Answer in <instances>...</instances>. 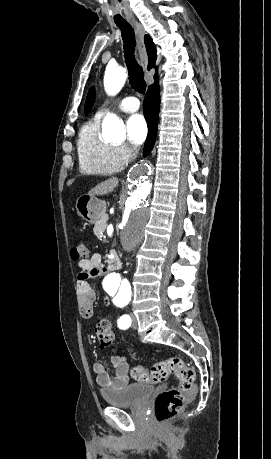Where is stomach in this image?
Listing matches in <instances>:
<instances>
[{
  "label": "stomach",
  "instance_id": "obj_1",
  "mask_svg": "<svg viewBox=\"0 0 271 459\" xmlns=\"http://www.w3.org/2000/svg\"><path fill=\"white\" fill-rule=\"evenodd\" d=\"M76 210L78 216L86 220L88 224H96L101 218H103L106 212V206L104 202L98 200V198H93V196H81L76 202Z\"/></svg>",
  "mask_w": 271,
  "mask_h": 459
}]
</instances>
